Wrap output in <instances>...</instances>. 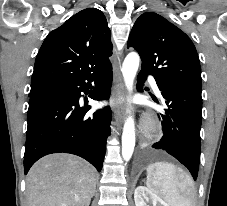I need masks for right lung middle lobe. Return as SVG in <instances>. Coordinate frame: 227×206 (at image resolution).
Masks as SVG:
<instances>
[{
	"label": "right lung middle lobe",
	"instance_id": "dd1d6c3e",
	"mask_svg": "<svg viewBox=\"0 0 227 206\" xmlns=\"http://www.w3.org/2000/svg\"><path fill=\"white\" fill-rule=\"evenodd\" d=\"M63 86H64V83L60 81H42V82L32 83L29 96L46 92V91H54L57 89H61Z\"/></svg>",
	"mask_w": 227,
	"mask_h": 206
}]
</instances>
